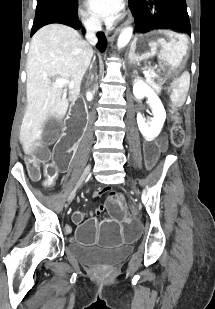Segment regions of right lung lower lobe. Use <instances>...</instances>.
Masks as SVG:
<instances>
[{
  "label": "right lung lower lobe",
  "instance_id": "right-lung-lower-lobe-1",
  "mask_svg": "<svg viewBox=\"0 0 215 309\" xmlns=\"http://www.w3.org/2000/svg\"><path fill=\"white\" fill-rule=\"evenodd\" d=\"M50 23H61V24H65V25L71 26V27H73L75 29H78V28L81 27V23L78 21V15H77L74 18H67V17H64V16H56V17L47 18L45 20L40 21L37 28L39 29L42 26L50 24ZM36 31H31V35H33ZM97 37L99 39V41L97 43V48L101 52H103L105 50V48H106L107 40L105 38V35L103 33H101V32L97 33Z\"/></svg>",
  "mask_w": 215,
  "mask_h": 309
}]
</instances>
